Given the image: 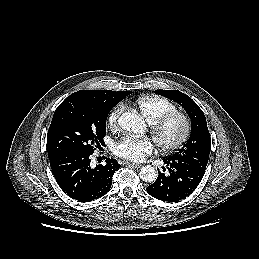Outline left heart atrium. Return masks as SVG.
I'll list each match as a JSON object with an SVG mask.
<instances>
[{"mask_svg":"<svg viewBox=\"0 0 259 259\" xmlns=\"http://www.w3.org/2000/svg\"><path fill=\"white\" fill-rule=\"evenodd\" d=\"M153 150V144L149 138H137L125 136L115 143L113 152L124 159L139 162L142 161Z\"/></svg>","mask_w":259,"mask_h":259,"instance_id":"left-heart-atrium-1","label":"left heart atrium"}]
</instances>
